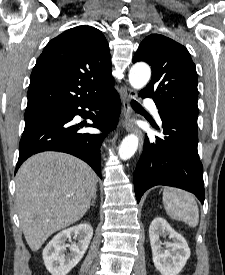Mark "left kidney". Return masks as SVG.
I'll return each instance as SVG.
<instances>
[{"instance_id":"5707ae66","label":"left kidney","mask_w":225,"mask_h":275,"mask_svg":"<svg viewBox=\"0 0 225 275\" xmlns=\"http://www.w3.org/2000/svg\"><path fill=\"white\" fill-rule=\"evenodd\" d=\"M165 235H169L173 242H167L166 248H163L160 236ZM149 238L156 269L162 275H178L190 257V249L183 236L175 232L165 219L157 217L150 224Z\"/></svg>"}]
</instances>
